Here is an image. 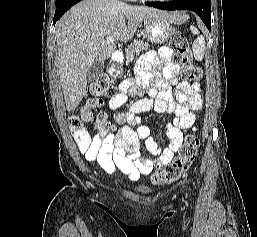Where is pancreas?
I'll return each mask as SVG.
<instances>
[{"label":"pancreas","mask_w":257,"mask_h":237,"mask_svg":"<svg viewBox=\"0 0 257 237\" xmlns=\"http://www.w3.org/2000/svg\"><path fill=\"white\" fill-rule=\"evenodd\" d=\"M149 43L144 41L134 40L130 45L125 49L126 60L132 61L134 56H138L141 52L148 50Z\"/></svg>","instance_id":"cf45deb5"}]
</instances>
